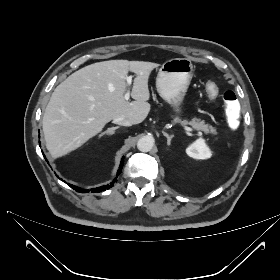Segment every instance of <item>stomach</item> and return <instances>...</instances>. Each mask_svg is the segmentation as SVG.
Returning <instances> with one entry per match:
<instances>
[{
    "label": "stomach",
    "instance_id": "0dacf381",
    "mask_svg": "<svg viewBox=\"0 0 280 280\" xmlns=\"http://www.w3.org/2000/svg\"><path fill=\"white\" fill-rule=\"evenodd\" d=\"M193 76V64L188 58H173L164 62L156 78V88L172 111L182 114L181 105Z\"/></svg>",
    "mask_w": 280,
    "mask_h": 280
}]
</instances>
